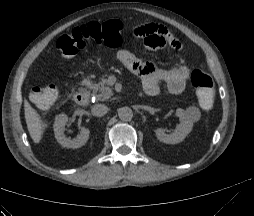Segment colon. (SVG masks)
<instances>
[{
	"instance_id": "colon-1",
	"label": "colon",
	"mask_w": 254,
	"mask_h": 216,
	"mask_svg": "<svg viewBox=\"0 0 254 216\" xmlns=\"http://www.w3.org/2000/svg\"><path fill=\"white\" fill-rule=\"evenodd\" d=\"M125 40L123 26L119 21L91 22L61 36L56 42V49L62 56L72 57L89 44L117 48ZM190 80L201 107L205 110L211 109L214 104V84L211 76L204 70L194 69ZM57 96L58 91L54 85L35 88L31 93V99L43 109L52 106Z\"/></svg>"
}]
</instances>
